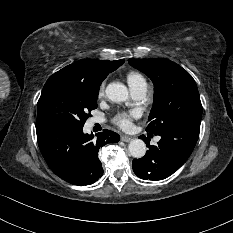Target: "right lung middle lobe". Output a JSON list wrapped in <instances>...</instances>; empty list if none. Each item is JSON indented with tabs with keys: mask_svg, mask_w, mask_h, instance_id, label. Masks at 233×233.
I'll list each match as a JSON object with an SVG mask.
<instances>
[{
	"mask_svg": "<svg viewBox=\"0 0 233 233\" xmlns=\"http://www.w3.org/2000/svg\"><path fill=\"white\" fill-rule=\"evenodd\" d=\"M99 87L53 74L45 83L37 104L36 125L59 124L83 127L90 111L97 108Z\"/></svg>",
	"mask_w": 233,
	"mask_h": 233,
	"instance_id": "obj_1",
	"label": "right lung middle lobe"
}]
</instances>
